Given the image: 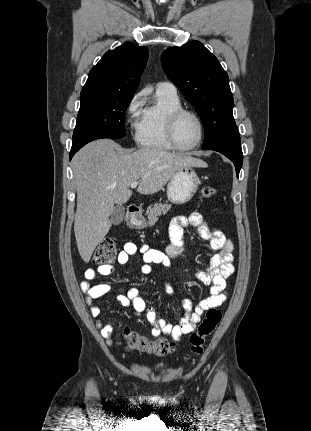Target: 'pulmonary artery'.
Here are the masks:
<instances>
[{
	"mask_svg": "<svg viewBox=\"0 0 311 431\" xmlns=\"http://www.w3.org/2000/svg\"><path fill=\"white\" fill-rule=\"evenodd\" d=\"M158 91L175 94L177 93L176 87L170 82H159L156 86Z\"/></svg>",
	"mask_w": 311,
	"mask_h": 431,
	"instance_id": "pulmonary-artery-1",
	"label": "pulmonary artery"
}]
</instances>
